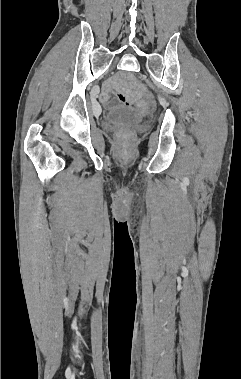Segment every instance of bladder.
Here are the masks:
<instances>
[{"label":"bladder","mask_w":241,"mask_h":379,"mask_svg":"<svg viewBox=\"0 0 241 379\" xmlns=\"http://www.w3.org/2000/svg\"><path fill=\"white\" fill-rule=\"evenodd\" d=\"M106 119L113 124L133 125L142 121L143 115L134 109L115 108L107 113Z\"/></svg>","instance_id":"obj_1"}]
</instances>
